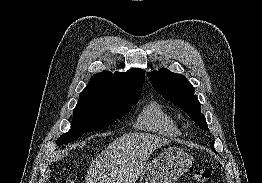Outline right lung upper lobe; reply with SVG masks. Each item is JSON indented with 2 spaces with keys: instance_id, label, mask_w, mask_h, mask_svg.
Masks as SVG:
<instances>
[{
  "instance_id": "1",
  "label": "right lung upper lobe",
  "mask_w": 262,
  "mask_h": 183,
  "mask_svg": "<svg viewBox=\"0 0 262 183\" xmlns=\"http://www.w3.org/2000/svg\"><path fill=\"white\" fill-rule=\"evenodd\" d=\"M144 79V71L136 68L125 73L103 71L92 76L80 98L112 101L139 99Z\"/></svg>"
}]
</instances>
